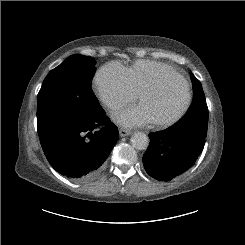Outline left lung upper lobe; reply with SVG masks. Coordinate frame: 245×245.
Here are the masks:
<instances>
[{
  "instance_id": "obj_1",
  "label": "left lung upper lobe",
  "mask_w": 245,
  "mask_h": 245,
  "mask_svg": "<svg viewBox=\"0 0 245 245\" xmlns=\"http://www.w3.org/2000/svg\"><path fill=\"white\" fill-rule=\"evenodd\" d=\"M193 85V102L186 115L170 128L192 130L207 135L208 108L200 81L190 73Z\"/></svg>"
}]
</instances>
